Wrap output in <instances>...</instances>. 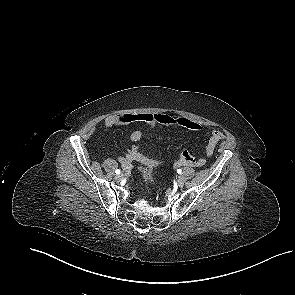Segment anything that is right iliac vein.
Masks as SVG:
<instances>
[{
	"mask_svg": "<svg viewBox=\"0 0 295 295\" xmlns=\"http://www.w3.org/2000/svg\"><path fill=\"white\" fill-rule=\"evenodd\" d=\"M122 178H123V174H118V175L115 177V179H116L117 181L122 180Z\"/></svg>",
	"mask_w": 295,
	"mask_h": 295,
	"instance_id": "right-iliac-vein-1",
	"label": "right iliac vein"
}]
</instances>
